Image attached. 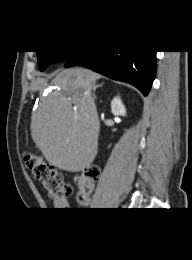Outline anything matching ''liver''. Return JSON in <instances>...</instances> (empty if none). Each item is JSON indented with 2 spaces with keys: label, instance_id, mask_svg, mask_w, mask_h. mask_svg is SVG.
<instances>
[{
  "label": "liver",
  "instance_id": "6515ba94",
  "mask_svg": "<svg viewBox=\"0 0 192 260\" xmlns=\"http://www.w3.org/2000/svg\"><path fill=\"white\" fill-rule=\"evenodd\" d=\"M100 78L89 69H64L50 83L57 89L46 97L42 93L48 80L36 79L33 90L40 92V103L31 117V137L45 159L61 170L83 171L97 155L100 122L91 88Z\"/></svg>",
  "mask_w": 192,
  "mask_h": 260
}]
</instances>
